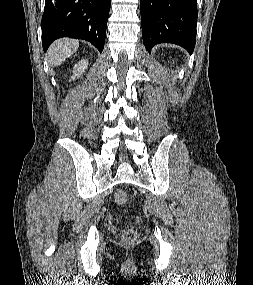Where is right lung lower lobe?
<instances>
[{"instance_id": "right-lung-lower-lobe-1", "label": "right lung lower lobe", "mask_w": 253, "mask_h": 285, "mask_svg": "<svg viewBox=\"0 0 253 285\" xmlns=\"http://www.w3.org/2000/svg\"><path fill=\"white\" fill-rule=\"evenodd\" d=\"M42 46L61 37L83 39L102 52L111 0H45Z\"/></svg>"}]
</instances>
